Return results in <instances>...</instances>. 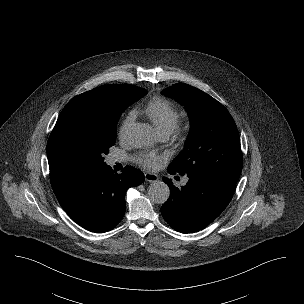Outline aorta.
<instances>
[{
	"mask_svg": "<svg viewBox=\"0 0 304 304\" xmlns=\"http://www.w3.org/2000/svg\"><path fill=\"white\" fill-rule=\"evenodd\" d=\"M150 140L151 128L144 123L136 124L129 134V141L135 147H146L149 145ZM148 195L154 203L163 204L168 200L170 190L166 183L156 180L150 184Z\"/></svg>",
	"mask_w": 304,
	"mask_h": 304,
	"instance_id": "1",
	"label": "aorta"
}]
</instances>
